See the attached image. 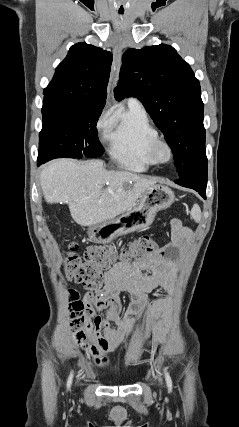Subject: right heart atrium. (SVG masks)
Instances as JSON below:
<instances>
[{
	"label": "right heart atrium",
	"instance_id": "d8ad5b80",
	"mask_svg": "<svg viewBox=\"0 0 239 427\" xmlns=\"http://www.w3.org/2000/svg\"><path fill=\"white\" fill-rule=\"evenodd\" d=\"M109 125V119L107 114H103L98 122H97V127L100 131H106Z\"/></svg>",
	"mask_w": 239,
	"mask_h": 427
}]
</instances>
